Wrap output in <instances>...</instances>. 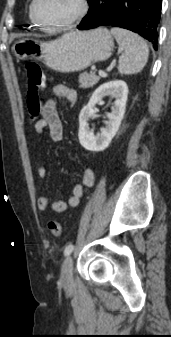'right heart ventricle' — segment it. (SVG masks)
<instances>
[{
  "instance_id": "1",
  "label": "right heart ventricle",
  "mask_w": 171,
  "mask_h": 337,
  "mask_svg": "<svg viewBox=\"0 0 171 337\" xmlns=\"http://www.w3.org/2000/svg\"><path fill=\"white\" fill-rule=\"evenodd\" d=\"M28 18H29V23L32 27H38V25L35 23V21L31 17L30 7L28 9Z\"/></svg>"
}]
</instances>
